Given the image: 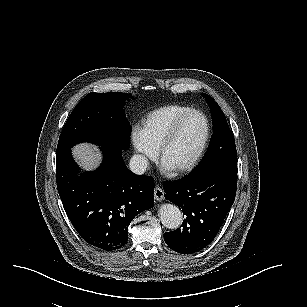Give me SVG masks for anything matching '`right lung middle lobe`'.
I'll return each mask as SVG.
<instances>
[{
	"instance_id": "dd1d6c3e",
	"label": "right lung middle lobe",
	"mask_w": 307,
	"mask_h": 307,
	"mask_svg": "<svg viewBox=\"0 0 307 307\" xmlns=\"http://www.w3.org/2000/svg\"><path fill=\"white\" fill-rule=\"evenodd\" d=\"M129 97L116 92L86 95L70 114L59 137L57 153L84 141L128 149L131 125L123 105Z\"/></svg>"
}]
</instances>
